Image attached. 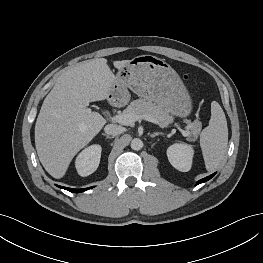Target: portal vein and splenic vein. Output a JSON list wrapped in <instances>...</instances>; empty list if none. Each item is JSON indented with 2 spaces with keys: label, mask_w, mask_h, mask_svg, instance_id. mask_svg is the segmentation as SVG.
<instances>
[{
  "label": "portal vein and splenic vein",
  "mask_w": 263,
  "mask_h": 263,
  "mask_svg": "<svg viewBox=\"0 0 263 263\" xmlns=\"http://www.w3.org/2000/svg\"><path fill=\"white\" fill-rule=\"evenodd\" d=\"M113 120L116 121L117 123H120L122 125H132L135 121L137 120H146L154 124H159V122L151 115L149 114H143L139 116H135L132 114H118L113 117ZM181 134L185 137L190 135V132L188 130L184 129H179Z\"/></svg>",
  "instance_id": "18ae733b"
}]
</instances>
